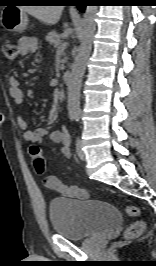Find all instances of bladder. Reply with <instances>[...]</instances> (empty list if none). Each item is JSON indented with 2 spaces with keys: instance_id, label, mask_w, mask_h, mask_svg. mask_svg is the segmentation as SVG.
Listing matches in <instances>:
<instances>
[{
  "instance_id": "bladder-1",
  "label": "bladder",
  "mask_w": 156,
  "mask_h": 266,
  "mask_svg": "<svg viewBox=\"0 0 156 266\" xmlns=\"http://www.w3.org/2000/svg\"><path fill=\"white\" fill-rule=\"evenodd\" d=\"M53 231L71 240H82L105 233L122 221L112 204L95 199H57L49 206Z\"/></svg>"
}]
</instances>
